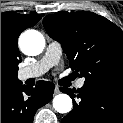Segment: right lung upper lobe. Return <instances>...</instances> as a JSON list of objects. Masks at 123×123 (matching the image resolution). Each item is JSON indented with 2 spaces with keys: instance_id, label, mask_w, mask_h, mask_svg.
<instances>
[{
  "instance_id": "obj_1",
  "label": "right lung upper lobe",
  "mask_w": 123,
  "mask_h": 123,
  "mask_svg": "<svg viewBox=\"0 0 123 123\" xmlns=\"http://www.w3.org/2000/svg\"><path fill=\"white\" fill-rule=\"evenodd\" d=\"M43 15H23L14 12L1 13V56L5 57L11 64L18 68L21 62L17 40L21 32L35 25ZM18 71V69H17ZM20 82L17 72L6 77L1 84H14Z\"/></svg>"
}]
</instances>
